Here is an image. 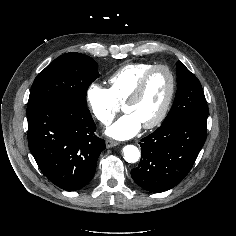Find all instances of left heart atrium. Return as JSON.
<instances>
[{
	"label": "left heart atrium",
	"mask_w": 236,
	"mask_h": 236,
	"mask_svg": "<svg viewBox=\"0 0 236 236\" xmlns=\"http://www.w3.org/2000/svg\"><path fill=\"white\" fill-rule=\"evenodd\" d=\"M141 127V121L133 113H126L106 130V134L114 139L126 140L134 137Z\"/></svg>",
	"instance_id": "left-heart-atrium-1"
}]
</instances>
